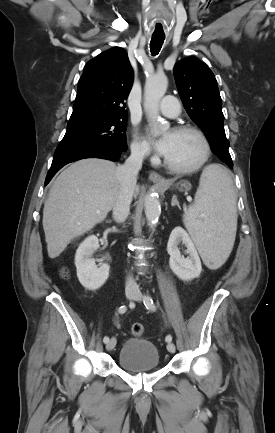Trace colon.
I'll return each mask as SVG.
<instances>
[{"mask_svg":"<svg viewBox=\"0 0 275 433\" xmlns=\"http://www.w3.org/2000/svg\"><path fill=\"white\" fill-rule=\"evenodd\" d=\"M62 276H66L67 275V271L66 270H62L61 271ZM144 326L140 323H135L132 325L131 327V333L135 336V337H141L144 334Z\"/></svg>","mask_w":275,"mask_h":433,"instance_id":"5ec220e1","label":"colon"}]
</instances>
